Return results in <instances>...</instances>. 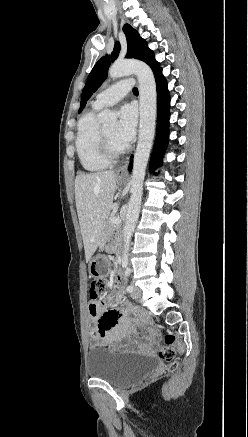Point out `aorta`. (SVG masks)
Returning a JSON list of instances; mask_svg holds the SVG:
<instances>
[{
    "instance_id": "obj_1",
    "label": "aorta",
    "mask_w": 248,
    "mask_h": 437,
    "mask_svg": "<svg viewBox=\"0 0 248 437\" xmlns=\"http://www.w3.org/2000/svg\"><path fill=\"white\" fill-rule=\"evenodd\" d=\"M111 78H119L135 74L139 83L140 123L137 148L134 154L131 177V198L128 204L125 225L123 229L124 254L126 260L129 254L131 238L139 217L142 200L143 182L150 156L156 125V84L150 67L138 60H125L114 63L109 69ZM103 123H115L117 115L104 110L99 114Z\"/></svg>"
}]
</instances>
